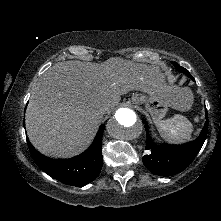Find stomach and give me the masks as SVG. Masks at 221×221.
I'll use <instances>...</instances> for the list:
<instances>
[{
	"mask_svg": "<svg viewBox=\"0 0 221 221\" xmlns=\"http://www.w3.org/2000/svg\"><path fill=\"white\" fill-rule=\"evenodd\" d=\"M166 95L177 97L182 111L187 110L192 104V96L187 90L166 85ZM131 100L133 104H144L154 122L160 121L168 112L169 107H171L165 97L157 94L135 93Z\"/></svg>",
	"mask_w": 221,
	"mask_h": 221,
	"instance_id": "obj_1",
	"label": "stomach"
}]
</instances>
